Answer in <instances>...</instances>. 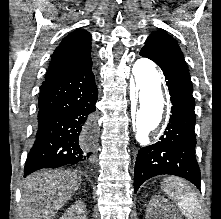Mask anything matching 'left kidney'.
<instances>
[{
    "label": "left kidney",
    "instance_id": "5707ae66",
    "mask_svg": "<svg viewBox=\"0 0 221 219\" xmlns=\"http://www.w3.org/2000/svg\"><path fill=\"white\" fill-rule=\"evenodd\" d=\"M164 216V218H163ZM146 219H180L173 206L163 197H153L147 206Z\"/></svg>",
    "mask_w": 221,
    "mask_h": 219
}]
</instances>
